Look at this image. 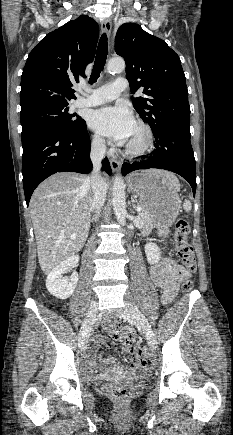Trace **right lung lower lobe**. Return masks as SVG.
<instances>
[{"mask_svg":"<svg viewBox=\"0 0 233 435\" xmlns=\"http://www.w3.org/2000/svg\"><path fill=\"white\" fill-rule=\"evenodd\" d=\"M23 188L27 205L35 188L56 172H91L90 138L86 123L76 131L47 127L22 136ZM103 170L111 175L107 158Z\"/></svg>","mask_w":233,"mask_h":435,"instance_id":"98d812e1","label":"right lung lower lobe"}]
</instances>
